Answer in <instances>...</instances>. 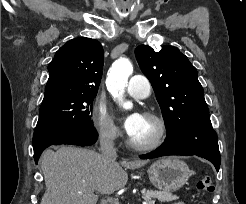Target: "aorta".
Wrapping results in <instances>:
<instances>
[{"mask_svg":"<svg viewBox=\"0 0 246 204\" xmlns=\"http://www.w3.org/2000/svg\"><path fill=\"white\" fill-rule=\"evenodd\" d=\"M132 72L133 66L130 60L120 58L112 64L106 81L107 88L117 98L119 105L125 110L133 108L132 102L124 100L125 87Z\"/></svg>","mask_w":246,"mask_h":204,"instance_id":"1","label":"aorta"}]
</instances>
